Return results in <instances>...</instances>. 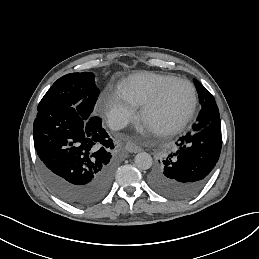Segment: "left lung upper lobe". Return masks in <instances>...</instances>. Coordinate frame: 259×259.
I'll return each instance as SVG.
<instances>
[{
	"instance_id": "1",
	"label": "left lung upper lobe",
	"mask_w": 259,
	"mask_h": 259,
	"mask_svg": "<svg viewBox=\"0 0 259 259\" xmlns=\"http://www.w3.org/2000/svg\"><path fill=\"white\" fill-rule=\"evenodd\" d=\"M194 83L196 85L197 92L199 94L201 108L216 104L214 97L199 81L194 79Z\"/></svg>"
}]
</instances>
